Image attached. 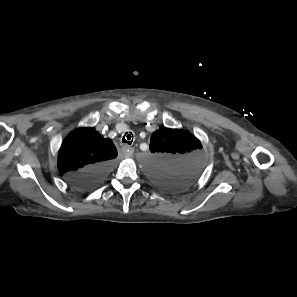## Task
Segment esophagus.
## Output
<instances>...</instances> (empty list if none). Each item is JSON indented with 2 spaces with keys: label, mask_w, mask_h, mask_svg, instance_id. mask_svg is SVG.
<instances>
[{
  "label": "esophagus",
  "mask_w": 297,
  "mask_h": 297,
  "mask_svg": "<svg viewBox=\"0 0 297 297\" xmlns=\"http://www.w3.org/2000/svg\"><path fill=\"white\" fill-rule=\"evenodd\" d=\"M123 153L125 155V157H131L134 153V148L128 146V145H124L122 147Z\"/></svg>",
  "instance_id": "esophagus-1"
}]
</instances>
